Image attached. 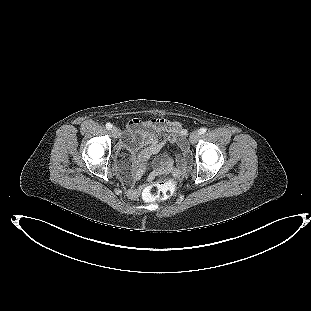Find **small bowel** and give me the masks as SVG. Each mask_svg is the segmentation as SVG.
<instances>
[{"instance_id":"obj_1","label":"small bowel","mask_w":311,"mask_h":311,"mask_svg":"<svg viewBox=\"0 0 311 311\" xmlns=\"http://www.w3.org/2000/svg\"><path fill=\"white\" fill-rule=\"evenodd\" d=\"M167 143L177 145L182 150V155L176 163L163 156L154 163V169H165L179 179L185 174L187 165L190 162V154L185 142V130L177 121L165 118H154L149 121L133 119L127 123L126 131L120 141L119 165L120 171L126 177L140 178L147 170L149 159L159 153ZM140 150L138 157L133 154ZM131 163L130 167L127 165ZM130 195L138 193L131 182L128 186Z\"/></svg>"}]
</instances>
